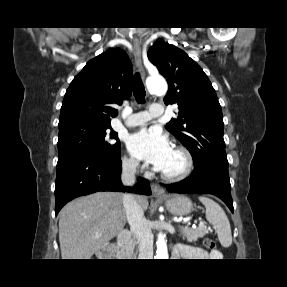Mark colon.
<instances>
[{
    "label": "colon",
    "mask_w": 287,
    "mask_h": 287,
    "mask_svg": "<svg viewBox=\"0 0 287 287\" xmlns=\"http://www.w3.org/2000/svg\"><path fill=\"white\" fill-rule=\"evenodd\" d=\"M203 245H204V247L205 248H207V249H214L215 248V242H214V240L213 239H211V238H205L204 240H203Z\"/></svg>",
    "instance_id": "5ec220e1"
}]
</instances>
